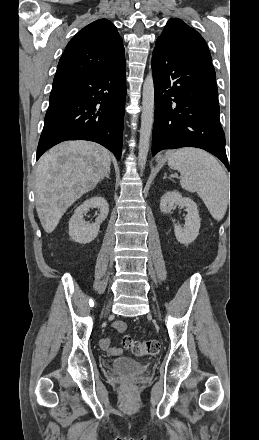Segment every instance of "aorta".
Listing matches in <instances>:
<instances>
[{
    "label": "aorta",
    "instance_id": "762f6f07",
    "mask_svg": "<svg viewBox=\"0 0 259 440\" xmlns=\"http://www.w3.org/2000/svg\"><path fill=\"white\" fill-rule=\"evenodd\" d=\"M154 121V82L151 74L147 75L143 85L142 115L139 140L138 163L140 170L145 168L150 145V135Z\"/></svg>",
    "mask_w": 259,
    "mask_h": 440
}]
</instances>
